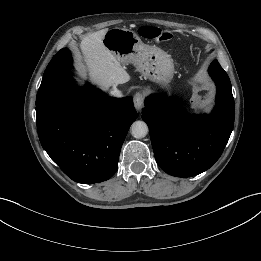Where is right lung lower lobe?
I'll use <instances>...</instances> for the list:
<instances>
[{
  "label": "right lung lower lobe",
  "instance_id": "obj_1",
  "mask_svg": "<svg viewBox=\"0 0 261 261\" xmlns=\"http://www.w3.org/2000/svg\"><path fill=\"white\" fill-rule=\"evenodd\" d=\"M137 116L131 97H106L91 85L76 89L70 72L36 98L42 147L78 183H99L114 175Z\"/></svg>",
  "mask_w": 261,
  "mask_h": 261
}]
</instances>
